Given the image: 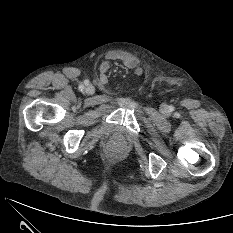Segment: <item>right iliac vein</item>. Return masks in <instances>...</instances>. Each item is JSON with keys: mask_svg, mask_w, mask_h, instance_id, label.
<instances>
[{"mask_svg": "<svg viewBox=\"0 0 233 233\" xmlns=\"http://www.w3.org/2000/svg\"><path fill=\"white\" fill-rule=\"evenodd\" d=\"M85 91H86L87 94H94L95 88H94V86H92V85H88V86L85 88Z\"/></svg>", "mask_w": 233, "mask_h": 233, "instance_id": "1", "label": "right iliac vein"}]
</instances>
